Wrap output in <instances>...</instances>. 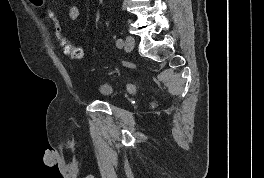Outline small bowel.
I'll return each mask as SVG.
<instances>
[{
    "label": "small bowel",
    "instance_id": "obj_1",
    "mask_svg": "<svg viewBox=\"0 0 264 178\" xmlns=\"http://www.w3.org/2000/svg\"><path fill=\"white\" fill-rule=\"evenodd\" d=\"M80 16V9L76 2H74L68 10V17L71 21H76Z\"/></svg>",
    "mask_w": 264,
    "mask_h": 178
}]
</instances>
